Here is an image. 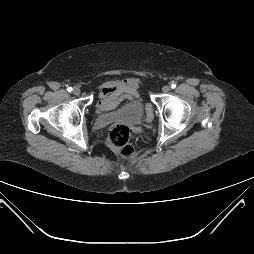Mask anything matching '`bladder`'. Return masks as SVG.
Listing matches in <instances>:
<instances>
[{
    "instance_id": "1",
    "label": "bladder",
    "mask_w": 254,
    "mask_h": 254,
    "mask_svg": "<svg viewBox=\"0 0 254 254\" xmlns=\"http://www.w3.org/2000/svg\"><path fill=\"white\" fill-rule=\"evenodd\" d=\"M144 111L145 108L143 103L141 101H137L122 107L116 112L99 115L95 119V123L97 125H102L118 118L137 121L142 118Z\"/></svg>"
}]
</instances>
